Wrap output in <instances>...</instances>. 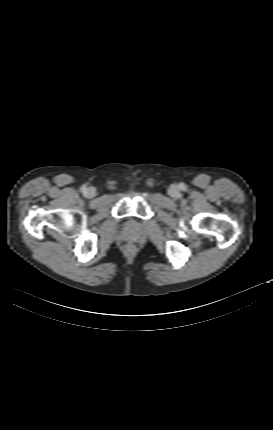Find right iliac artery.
Instances as JSON below:
<instances>
[{"mask_svg": "<svg viewBox=\"0 0 273 430\" xmlns=\"http://www.w3.org/2000/svg\"><path fill=\"white\" fill-rule=\"evenodd\" d=\"M81 191H82L83 193H86V192H87V187H86V186H82V187H81Z\"/></svg>", "mask_w": 273, "mask_h": 430, "instance_id": "obj_1", "label": "right iliac artery"}]
</instances>
